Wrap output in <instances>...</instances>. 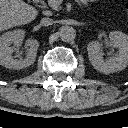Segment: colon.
<instances>
[{"label": "colon", "instance_id": "1", "mask_svg": "<svg viewBox=\"0 0 128 128\" xmlns=\"http://www.w3.org/2000/svg\"><path fill=\"white\" fill-rule=\"evenodd\" d=\"M126 10H127V12H128V3L126 4Z\"/></svg>", "mask_w": 128, "mask_h": 128}]
</instances>
